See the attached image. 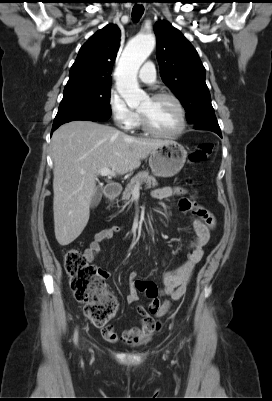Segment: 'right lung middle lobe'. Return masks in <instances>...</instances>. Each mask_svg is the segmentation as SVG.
Here are the masks:
<instances>
[{
	"mask_svg": "<svg viewBox=\"0 0 272 401\" xmlns=\"http://www.w3.org/2000/svg\"><path fill=\"white\" fill-rule=\"evenodd\" d=\"M111 83L64 91L53 125L77 118L106 120L111 116L109 105Z\"/></svg>",
	"mask_w": 272,
	"mask_h": 401,
	"instance_id": "dd1d6c3e",
	"label": "right lung middle lobe"
}]
</instances>
